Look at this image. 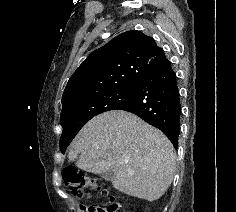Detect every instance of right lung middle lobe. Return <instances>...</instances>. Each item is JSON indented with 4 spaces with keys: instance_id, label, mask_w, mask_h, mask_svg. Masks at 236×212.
I'll return each instance as SVG.
<instances>
[{
    "instance_id": "obj_1",
    "label": "right lung middle lobe",
    "mask_w": 236,
    "mask_h": 212,
    "mask_svg": "<svg viewBox=\"0 0 236 212\" xmlns=\"http://www.w3.org/2000/svg\"><path fill=\"white\" fill-rule=\"evenodd\" d=\"M136 86L122 87L86 96L62 107L60 124L63 132L60 149L64 153L79 130L94 116L117 109L133 95Z\"/></svg>"
}]
</instances>
